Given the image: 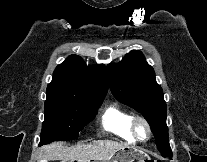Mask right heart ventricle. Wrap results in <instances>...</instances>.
I'll list each match as a JSON object with an SVG mask.
<instances>
[{
    "label": "right heart ventricle",
    "instance_id": "obj_1",
    "mask_svg": "<svg viewBox=\"0 0 207 162\" xmlns=\"http://www.w3.org/2000/svg\"><path fill=\"white\" fill-rule=\"evenodd\" d=\"M132 119L133 115L121 106L110 104L101 113L100 126L104 131L112 133L125 141L134 142L130 132Z\"/></svg>",
    "mask_w": 207,
    "mask_h": 162
}]
</instances>
